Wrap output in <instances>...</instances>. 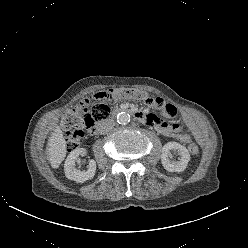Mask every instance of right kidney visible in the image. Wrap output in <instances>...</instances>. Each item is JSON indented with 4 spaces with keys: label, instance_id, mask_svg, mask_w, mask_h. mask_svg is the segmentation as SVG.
<instances>
[{
    "label": "right kidney",
    "instance_id": "obj_1",
    "mask_svg": "<svg viewBox=\"0 0 248 248\" xmlns=\"http://www.w3.org/2000/svg\"><path fill=\"white\" fill-rule=\"evenodd\" d=\"M86 154V150L83 148H76L70 152L68 157L66 158L64 164V172L65 176L73 181L78 183H83L89 179H92L96 172V162L94 160L89 161L88 170L81 171L75 167L76 159L80 155Z\"/></svg>",
    "mask_w": 248,
    "mask_h": 248
}]
</instances>
